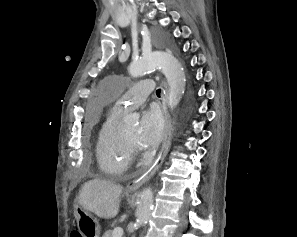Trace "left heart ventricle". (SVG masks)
I'll list each match as a JSON object with an SVG mask.
<instances>
[{
	"instance_id": "left-heart-ventricle-1",
	"label": "left heart ventricle",
	"mask_w": 297,
	"mask_h": 237,
	"mask_svg": "<svg viewBox=\"0 0 297 237\" xmlns=\"http://www.w3.org/2000/svg\"><path fill=\"white\" fill-rule=\"evenodd\" d=\"M122 136H124L129 142L135 144L138 146L137 138H138V127L134 126L125 132L122 133Z\"/></svg>"
}]
</instances>
